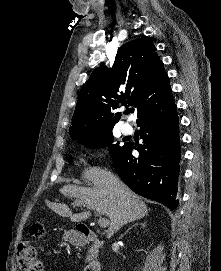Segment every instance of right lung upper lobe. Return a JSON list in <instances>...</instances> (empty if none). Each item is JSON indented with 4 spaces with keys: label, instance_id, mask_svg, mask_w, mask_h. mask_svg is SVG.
<instances>
[{
    "label": "right lung upper lobe",
    "instance_id": "right-lung-upper-lobe-1",
    "mask_svg": "<svg viewBox=\"0 0 221 271\" xmlns=\"http://www.w3.org/2000/svg\"><path fill=\"white\" fill-rule=\"evenodd\" d=\"M156 48L147 38H138L119 48L113 68L98 67L83 85L69 134L81 136L113 129L121 113L119 103L137 108L143 115L172 102L169 79Z\"/></svg>",
    "mask_w": 221,
    "mask_h": 271
}]
</instances>
